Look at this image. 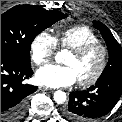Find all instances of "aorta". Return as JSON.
Returning <instances> with one entry per match:
<instances>
[{
    "instance_id": "aorta-1",
    "label": "aorta",
    "mask_w": 122,
    "mask_h": 122,
    "mask_svg": "<svg viewBox=\"0 0 122 122\" xmlns=\"http://www.w3.org/2000/svg\"><path fill=\"white\" fill-rule=\"evenodd\" d=\"M59 54H57L56 59L58 58ZM54 101L58 104H63L66 101V93L61 90L56 91L54 93Z\"/></svg>"
}]
</instances>
